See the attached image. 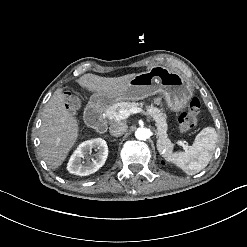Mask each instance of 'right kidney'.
Wrapping results in <instances>:
<instances>
[{
  "label": "right kidney",
  "mask_w": 247,
  "mask_h": 247,
  "mask_svg": "<svg viewBox=\"0 0 247 247\" xmlns=\"http://www.w3.org/2000/svg\"><path fill=\"white\" fill-rule=\"evenodd\" d=\"M92 149H96L97 153L95 159L92 162L82 163V158L90 152ZM108 156V146L104 139L94 138L81 142L71 154L66 169L69 173L86 176L98 171L106 162Z\"/></svg>",
  "instance_id": "1"
}]
</instances>
